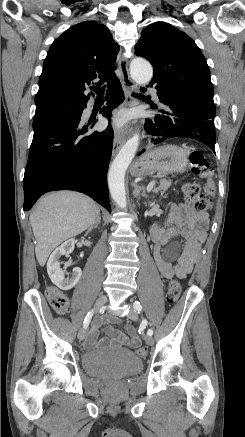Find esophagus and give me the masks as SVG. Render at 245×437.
Masks as SVG:
<instances>
[{
    "instance_id": "1",
    "label": "esophagus",
    "mask_w": 245,
    "mask_h": 437,
    "mask_svg": "<svg viewBox=\"0 0 245 437\" xmlns=\"http://www.w3.org/2000/svg\"><path fill=\"white\" fill-rule=\"evenodd\" d=\"M118 60H119V71L121 74L122 83L126 93V104L128 106H132L134 104V99L131 96V92L136 91L137 87L129 76L127 59L123 56H119ZM123 142H124V136L122 132H118L117 135L115 136L114 143H113V150H112L113 156L116 155V153L120 150V148L123 145Z\"/></svg>"
}]
</instances>
